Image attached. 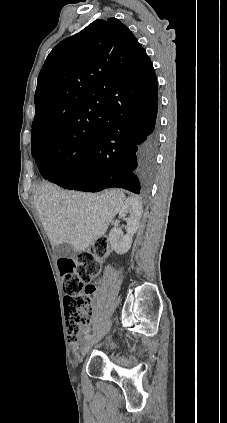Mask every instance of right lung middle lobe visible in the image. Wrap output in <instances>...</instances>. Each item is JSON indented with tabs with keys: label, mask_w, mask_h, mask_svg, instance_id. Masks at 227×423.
Listing matches in <instances>:
<instances>
[{
	"label": "right lung middle lobe",
	"mask_w": 227,
	"mask_h": 423,
	"mask_svg": "<svg viewBox=\"0 0 227 423\" xmlns=\"http://www.w3.org/2000/svg\"><path fill=\"white\" fill-rule=\"evenodd\" d=\"M94 148V143L73 146L60 137H43L32 142V155L43 178L49 180L73 168Z\"/></svg>",
	"instance_id": "obj_1"
}]
</instances>
